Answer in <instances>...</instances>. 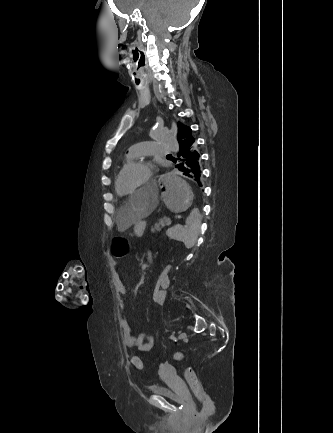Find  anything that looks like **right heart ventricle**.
I'll list each match as a JSON object with an SVG mask.
<instances>
[{"label":"right heart ventricle","mask_w":333,"mask_h":433,"mask_svg":"<svg viewBox=\"0 0 333 433\" xmlns=\"http://www.w3.org/2000/svg\"><path fill=\"white\" fill-rule=\"evenodd\" d=\"M133 156L130 154V153H128L125 157H124V159L122 160V164H121V167H120V170H119V172H118V174L120 173V171L127 165V164H129L132 160H133ZM117 174V175H118ZM117 177V176H116ZM115 182H116V179H115ZM115 190H116V185H115ZM117 192V191H116ZM118 194V193H117ZM119 195V194H118ZM119 196H122V195H119Z\"/></svg>","instance_id":"obj_1"}]
</instances>
